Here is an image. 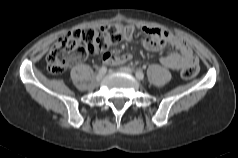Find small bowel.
<instances>
[{"label":"small bowel","mask_w":238,"mask_h":158,"mask_svg":"<svg viewBox=\"0 0 238 158\" xmlns=\"http://www.w3.org/2000/svg\"><path fill=\"white\" fill-rule=\"evenodd\" d=\"M141 31L145 38L141 43L144 48L151 51H160L166 45H171L177 52L169 53L160 57V63L170 69H181L190 65H198V59L189 45L173 33L157 27L143 26ZM131 59L130 54L116 55L111 52H104L102 60L108 65H120Z\"/></svg>","instance_id":"obj_1"}]
</instances>
